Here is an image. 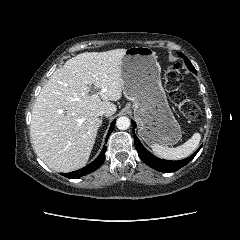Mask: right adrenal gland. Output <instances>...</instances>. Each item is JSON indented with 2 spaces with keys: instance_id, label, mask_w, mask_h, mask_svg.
<instances>
[{
  "instance_id": "1",
  "label": "right adrenal gland",
  "mask_w": 240,
  "mask_h": 240,
  "mask_svg": "<svg viewBox=\"0 0 240 240\" xmlns=\"http://www.w3.org/2000/svg\"><path fill=\"white\" fill-rule=\"evenodd\" d=\"M102 119H103V118L101 117V119H100V126L102 125V121H103Z\"/></svg>"
}]
</instances>
